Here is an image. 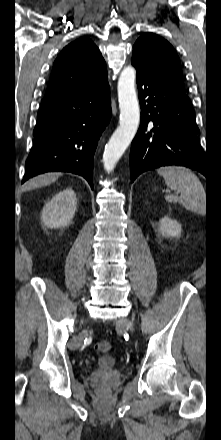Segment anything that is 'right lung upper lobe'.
<instances>
[{
    "mask_svg": "<svg viewBox=\"0 0 221 440\" xmlns=\"http://www.w3.org/2000/svg\"><path fill=\"white\" fill-rule=\"evenodd\" d=\"M106 83L105 61L97 46L83 37L68 44L56 58L45 97L95 90Z\"/></svg>",
    "mask_w": 221,
    "mask_h": 440,
    "instance_id": "1",
    "label": "right lung upper lobe"
}]
</instances>
